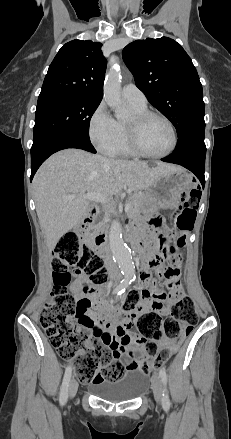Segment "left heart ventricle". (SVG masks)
<instances>
[{
	"label": "left heart ventricle",
	"mask_w": 231,
	"mask_h": 439,
	"mask_svg": "<svg viewBox=\"0 0 231 439\" xmlns=\"http://www.w3.org/2000/svg\"><path fill=\"white\" fill-rule=\"evenodd\" d=\"M139 140L147 152L161 154L171 147L173 138L165 121L157 117H151L141 126Z\"/></svg>",
	"instance_id": "obj_1"
}]
</instances>
